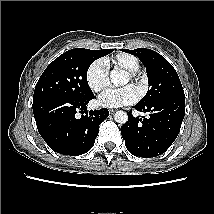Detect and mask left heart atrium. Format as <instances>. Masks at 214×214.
I'll use <instances>...</instances> for the list:
<instances>
[{
    "instance_id": "1",
    "label": "left heart atrium",
    "mask_w": 214,
    "mask_h": 214,
    "mask_svg": "<svg viewBox=\"0 0 214 214\" xmlns=\"http://www.w3.org/2000/svg\"><path fill=\"white\" fill-rule=\"evenodd\" d=\"M139 97L138 90L133 86H125L119 89H109L98 98V104L107 108H118L132 104Z\"/></svg>"
}]
</instances>
